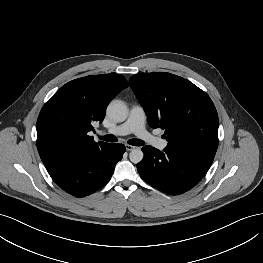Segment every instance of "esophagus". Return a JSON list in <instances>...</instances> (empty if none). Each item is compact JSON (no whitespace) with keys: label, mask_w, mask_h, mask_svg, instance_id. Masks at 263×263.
<instances>
[{"label":"esophagus","mask_w":263,"mask_h":263,"mask_svg":"<svg viewBox=\"0 0 263 263\" xmlns=\"http://www.w3.org/2000/svg\"><path fill=\"white\" fill-rule=\"evenodd\" d=\"M135 148H136L135 146L126 145V150H127V151H132V150L135 149Z\"/></svg>","instance_id":"esophagus-1"}]
</instances>
